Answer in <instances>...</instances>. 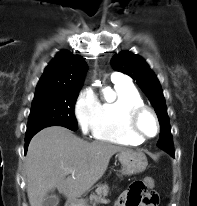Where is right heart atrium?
Listing matches in <instances>:
<instances>
[{
  "mask_svg": "<svg viewBox=\"0 0 197 206\" xmlns=\"http://www.w3.org/2000/svg\"><path fill=\"white\" fill-rule=\"evenodd\" d=\"M100 109V103L92 89H84L75 104L74 114L83 134L93 130Z\"/></svg>",
  "mask_w": 197,
  "mask_h": 206,
  "instance_id": "1",
  "label": "right heart atrium"
}]
</instances>
